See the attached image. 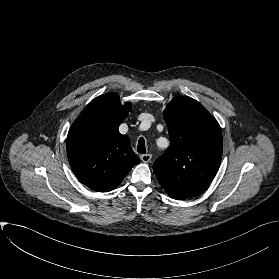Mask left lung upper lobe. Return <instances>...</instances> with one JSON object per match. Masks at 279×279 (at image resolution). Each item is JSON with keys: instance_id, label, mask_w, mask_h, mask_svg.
<instances>
[{"instance_id": "left-lung-upper-lobe-1", "label": "left lung upper lobe", "mask_w": 279, "mask_h": 279, "mask_svg": "<svg viewBox=\"0 0 279 279\" xmlns=\"http://www.w3.org/2000/svg\"><path fill=\"white\" fill-rule=\"evenodd\" d=\"M163 116L171 144L153 171L170 197L187 199L202 192L219 169L221 129L198 101L186 96L174 98Z\"/></svg>"}]
</instances>
